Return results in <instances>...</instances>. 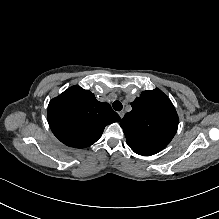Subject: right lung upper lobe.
<instances>
[{
    "label": "right lung upper lobe",
    "instance_id": "right-lung-upper-lobe-1",
    "mask_svg": "<svg viewBox=\"0 0 219 219\" xmlns=\"http://www.w3.org/2000/svg\"><path fill=\"white\" fill-rule=\"evenodd\" d=\"M121 118L111 106L99 102L94 94L72 86L48 105V123L54 135L64 144L85 148L95 143L106 125Z\"/></svg>",
    "mask_w": 219,
    "mask_h": 219
}]
</instances>
